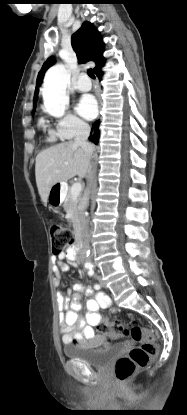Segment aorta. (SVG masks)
Returning a JSON list of instances; mask_svg holds the SVG:
<instances>
[{
  "label": "aorta",
  "mask_w": 187,
  "mask_h": 415,
  "mask_svg": "<svg viewBox=\"0 0 187 415\" xmlns=\"http://www.w3.org/2000/svg\"><path fill=\"white\" fill-rule=\"evenodd\" d=\"M70 74L63 64L52 66L45 74L42 96L45 111L54 116L62 117L69 105V96L66 93Z\"/></svg>",
  "instance_id": "762f6f07"
}]
</instances>
